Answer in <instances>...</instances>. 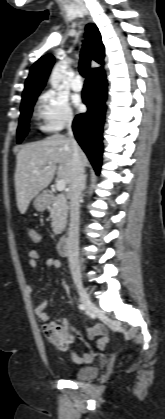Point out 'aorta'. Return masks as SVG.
Returning a JSON list of instances; mask_svg holds the SVG:
<instances>
[{"label": "aorta", "mask_w": 165, "mask_h": 419, "mask_svg": "<svg viewBox=\"0 0 165 419\" xmlns=\"http://www.w3.org/2000/svg\"><path fill=\"white\" fill-rule=\"evenodd\" d=\"M68 63H69V60L65 59L54 66L51 76H50V83L54 89L59 88L60 83L65 76Z\"/></svg>", "instance_id": "obj_1"}]
</instances>
